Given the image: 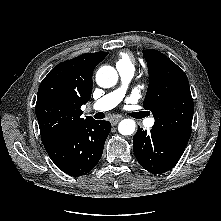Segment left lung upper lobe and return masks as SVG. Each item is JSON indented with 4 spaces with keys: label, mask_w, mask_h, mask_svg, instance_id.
I'll return each mask as SVG.
<instances>
[{
    "label": "left lung upper lobe",
    "mask_w": 221,
    "mask_h": 221,
    "mask_svg": "<svg viewBox=\"0 0 221 221\" xmlns=\"http://www.w3.org/2000/svg\"><path fill=\"white\" fill-rule=\"evenodd\" d=\"M149 85L143 107L153 113V129L172 139L188 142L194 111L185 73L161 52L143 51Z\"/></svg>",
    "instance_id": "obj_1"
}]
</instances>
